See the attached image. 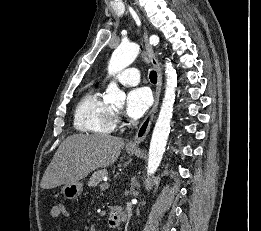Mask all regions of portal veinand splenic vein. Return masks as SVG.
<instances>
[{
  "label": "portal vein and splenic vein",
  "mask_w": 261,
  "mask_h": 231,
  "mask_svg": "<svg viewBox=\"0 0 261 231\" xmlns=\"http://www.w3.org/2000/svg\"><path fill=\"white\" fill-rule=\"evenodd\" d=\"M105 181H106V179H105ZM109 186H110V184H109L108 182H104V183L101 185V189H102V190H105V189H107Z\"/></svg>",
  "instance_id": "portal-vein-and-splenic-vein-1"
}]
</instances>
